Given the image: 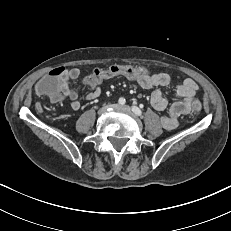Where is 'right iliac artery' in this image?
Wrapping results in <instances>:
<instances>
[{"mask_svg":"<svg viewBox=\"0 0 231 231\" xmlns=\"http://www.w3.org/2000/svg\"><path fill=\"white\" fill-rule=\"evenodd\" d=\"M125 99L124 98H119L118 100V103L121 104V105H124L125 104Z\"/></svg>","mask_w":231,"mask_h":231,"instance_id":"right-iliac-artery-1","label":"right iliac artery"}]
</instances>
